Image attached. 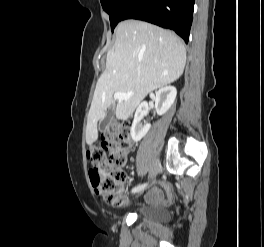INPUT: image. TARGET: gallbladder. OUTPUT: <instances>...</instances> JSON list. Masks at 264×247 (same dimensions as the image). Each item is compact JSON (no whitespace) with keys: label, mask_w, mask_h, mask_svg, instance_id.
<instances>
[{"label":"gallbladder","mask_w":264,"mask_h":247,"mask_svg":"<svg viewBox=\"0 0 264 247\" xmlns=\"http://www.w3.org/2000/svg\"><path fill=\"white\" fill-rule=\"evenodd\" d=\"M114 109H109V111H107V113H106V116H105V118L103 119V120H101L99 123V129H100V131H105V129L108 127V125L110 124V122H111V118H113V114L115 113L114 111H113Z\"/></svg>","instance_id":"bac80fb5"}]
</instances>
